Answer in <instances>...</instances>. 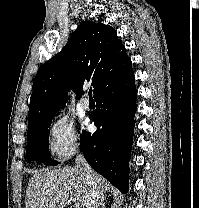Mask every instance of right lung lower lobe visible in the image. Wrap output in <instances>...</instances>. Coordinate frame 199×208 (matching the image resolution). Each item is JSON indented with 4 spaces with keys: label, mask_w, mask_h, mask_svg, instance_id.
Masks as SVG:
<instances>
[{
    "label": "right lung lower lobe",
    "mask_w": 199,
    "mask_h": 208,
    "mask_svg": "<svg viewBox=\"0 0 199 208\" xmlns=\"http://www.w3.org/2000/svg\"><path fill=\"white\" fill-rule=\"evenodd\" d=\"M136 97L134 73L101 91L94 97L97 109L91 115L98 129L93 134L83 131L80 139L86 161L123 193L129 189Z\"/></svg>",
    "instance_id": "1"
}]
</instances>
